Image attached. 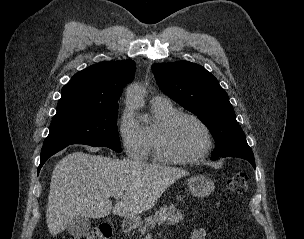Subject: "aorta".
I'll use <instances>...</instances> for the list:
<instances>
[{
  "label": "aorta",
  "mask_w": 304,
  "mask_h": 239,
  "mask_svg": "<svg viewBox=\"0 0 304 239\" xmlns=\"http://www.w3.org/2000/svg\"><path fill=\"white\" fill-rule=\"evenodd\" d=\"M143 95V89L139 85H132L127 90V102L139 107L143 103Z\"/></svg>",
  "instance_id": "obj_1"
}]
</instances>
